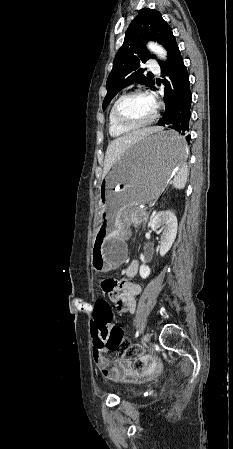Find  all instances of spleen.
I'll use <instances>...</instances> for the list:
<instances>
[{"mask_svg": "<svg viewBox=\"0 0 233 449\" xmlns=\"http://www.w3.org/2000/svg\"><path fill=\"white\" fill-rule=\"evenodd\" d=\"M188 173L189 172H188L187 165L183 164L180 168L178 175L173 180V186L176 189H183L185 187L186 182H187Z\"/></svg>", "mask_w": 233, "mask_h": 449, "instance_id": "1", "label": "spleen"}]
</instances>
